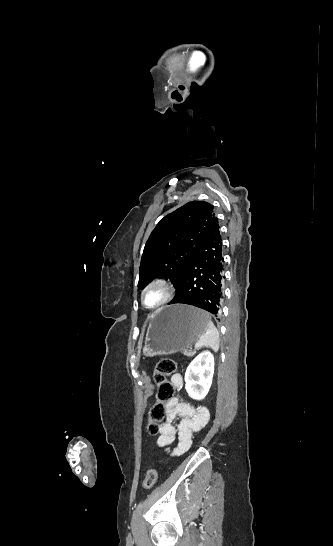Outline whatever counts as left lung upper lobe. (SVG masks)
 <instances>
[{"label":"left lung upper lobe","mask_w":333,"mask_h":546,"mask_svg":"<svg viewBox=\"0 0 333 546\" xmlns=\"http://www.w3.org/2000/svg\"><path fill=\"white\" fill-rule=\"evenodd\" d=\"M215 219L213 205L203 201L188 202L161 219L144 247L138 288L157 277L169 278L177 287Z\"/></svg>","instance_id":"1"}]
</instances>
